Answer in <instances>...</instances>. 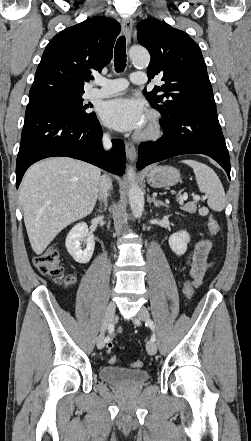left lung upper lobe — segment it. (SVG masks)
<instances>
[{
	"label": "left lung upper lobe",
	"mask_w": 251,
	"mask_h": 441,
	"mask_svg": "<svg viewBox=\"0 0 251 441\" xmlns=\"http://www.w3.org/2000/svg\"><path fill=\"white\" fill-rule=\"evenodd\" d=\"M137 38L151 54L149 79L162 76L165 82L151 92L144 90L146 99L161 113V122L183 111L216 109L200 47L187 33L149 18L138 24Z\"/></svg>",
	"instance_id": "5c2ea615"
}]
</instances>
